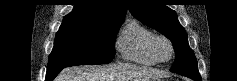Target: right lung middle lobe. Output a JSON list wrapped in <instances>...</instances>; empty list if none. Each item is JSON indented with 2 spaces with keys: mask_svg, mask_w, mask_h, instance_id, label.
<instances>
[{
  "mask_svg": "<svg viewBox=\"0 0 237 81\" xmlns=\"http://www.w3.org/2000/svg\"><path fill=\"white\" fill-rule=\"evenodd\" d=\"M123 21L63 20L49 55L47 71L69 66L110 63L114 41Z\"/></svg>",
  "mask_w": 237,
  "mask_h": 81,
  "instance_id": "dd1d6c3e",
  "label": "right lung middle lobe"
}]
</instances>
